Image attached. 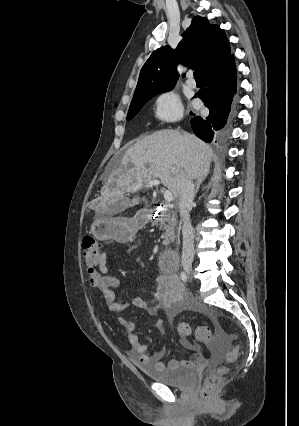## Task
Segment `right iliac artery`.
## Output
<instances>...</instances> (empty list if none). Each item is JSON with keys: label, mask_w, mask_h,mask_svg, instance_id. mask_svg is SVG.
Masks as SVG:
<instances>
[{"label": "right iliac artery", "mask_w": 299, "mask_h": 426, "mask_svg": "<svg viewBox=\"0 0 299 426\" xmlns=\"http://www.w3.org/2000/svg\"><path fill=\"white\" fill-rule=\"evenodd\" d=\"M180 277L182 279V281L187 282V275L185 272H181Z\"/></svg>", "instance_id": "1"}]
</instances>
